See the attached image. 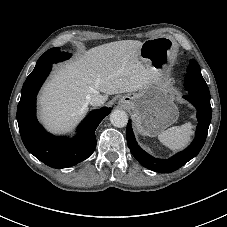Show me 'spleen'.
<instances>
[{
  "instance_id": "1",
  "label": "spleen",
  "mask_w": 227,
  "mask_h": 227,
  "mask_svg": "<svg viewBox=\"0 0 227 227\" xmlns=\"http://www.w3.org/2000/svg\"><path fill=\"white\" fill-rule=\"evenodd\" d=\"M192 124L190 122L181 126H173L158 135L159 141L171 150L184 148L191 140Z\"/></svg>"
}]
</instances>
